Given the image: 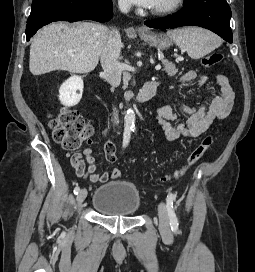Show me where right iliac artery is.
Masks as SVG:
<instances>
[{
    "label": "right iliac artery",
    "instance_id": "obj_1",
    "mask_svg": "<svg viewBox=\"0 0 255 272\" xmlns=\"http://www.w3.org/2000/svg\"><path fill=\"white\" fill-rule=\"evenodd\" d=\"M130 136H131V129L129 128H126L124 130V135H123V147H126L129 143V140H130ZM80 191V188L78 186H76L74 188V194L77 195Z\"/></svg>",
    "mask_w": 255,
    "mask_h": 272
}]
</instances>
